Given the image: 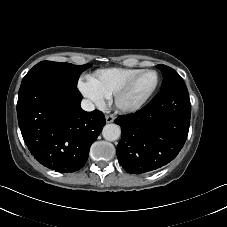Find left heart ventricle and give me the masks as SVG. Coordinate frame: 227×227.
Segmentation results:
<instances>
[{"mask_svg": "<svg viewBox=\"0 0 227 227\" xmlns=\"http://www.w3.org/2000/svg\"><path fill=\"white\" fill-rule=\"evenodd\" d=\"M156 81L154 73H145L138 77L129 92L123 96L121 103L125 106L136 104L152 89Z\"/></svg>", "mask_w": 227, "mask_h": 227, "instance_id": "left-heart-ventricle-1", "label": "left heart ventricle"}]
</instances>
